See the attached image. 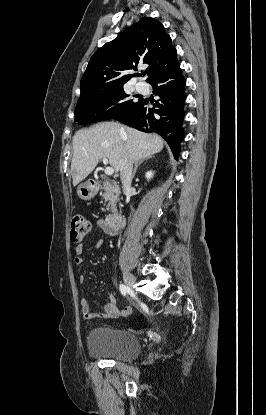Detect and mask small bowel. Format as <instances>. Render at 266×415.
<instances>
[{"label":"small bowel","instance_id":"c3829d8e","mask_svg":"<svg viewBox=\"0 0 266 415\" xmlns=\"http://www.w3.org/2000/svg\"><path fill=\"white\" fill-rule=\"evenodd\" d=\"M96 228L100 231H103L109 235H113V230H110L106 227L105 222L103 220H98L96 222ZM103 245V239H98L93 242V246L96 248H100ZM86 244H79L74 247V262L77 265H81L83 263L82 254L84 252ZM80 282L85 283L87 278L85 275H80ZM81 312L85 320H93V319H116L120 316H127L129 315L131 308L130 306H125L122 309H119L116 305V300L113 296L108 295L107 301L104 306L103 313H93L90 311V305L88 300L83 298L80 301Z\"/></svg>","mask_w":266,"mask_h":415}]
</instances>
